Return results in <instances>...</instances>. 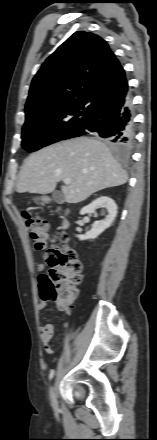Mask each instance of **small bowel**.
<instances>
[{
  "mask_svg": "<svg viewBox=\"0 0 157 440\" xmlns=\"http://www.w3.org/2000/svg\"><path fill=\"white\" fill-rule=\"evenodd\" d=\"M44 265L41 264L39 265L38 269L39 270H43ZM46 308V302L42 301L38 304V309L39 310H44ZM40 338L41 341L43 343L44 349L47 353L52 354L53 353V349H52V344H51V340L53 338L54 335V327L52 324H46L43 325L40 330Z\"/></svg>",
  "mask_w": 157,
  "mask_h": 440,
  "instance_id": "c3829d8e",
  "label": "small bowel"
}]
</instances>
